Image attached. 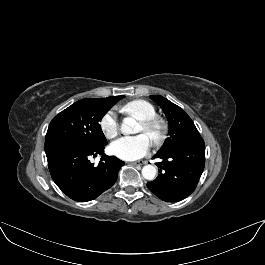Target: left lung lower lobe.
<instances>
[{
	"label": "left lung lower lobe",
	"instance_id": "obj_1",
	"mask_svg": "<svg viewBox=\"0 0 265 265\" xmlns=\"http://www.w3.org/2000/svg\"><path fill=\"white\" fill-rule=\"evenodd\" d=\"M160 158V175L147 183L149 190L166 202H177L196 188L205 166V143L202 138L178 145L154 155Z\"/></svg>",
	"mask_w": 265,
	"mask_h": 265
}]
</instances>
